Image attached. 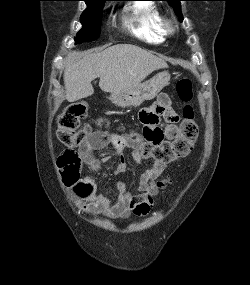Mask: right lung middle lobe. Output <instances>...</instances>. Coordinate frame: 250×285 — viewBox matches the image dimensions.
<instances>
[{
    "label": "right lung middle lobe",
    "instance_id": "obj_1",
    "mask_svg": "<svg viewBox=\"0 0 250 285\" xmlns=\"http://www.w3.org/2000/svg\"><path fill=\"white\" fill-rule=\"evenodd\" d=\"M105 1H85L87 8L80 17L83 27L77 33L76 44L94 41L99 37Z\"/></svg>",
    "mask_w": 250,
    "mask_h": 285
}]
</instances>
